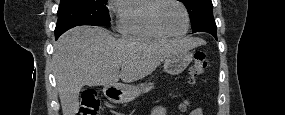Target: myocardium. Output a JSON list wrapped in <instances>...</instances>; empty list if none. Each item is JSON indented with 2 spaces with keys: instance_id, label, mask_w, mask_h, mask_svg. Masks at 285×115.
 I'll use <instances>...</instances> for the list:
<instances>
[{
  "instance_id": "obj_1",
  "label": "myocardium",
  "mask_w": 285,
  "mask_h": 115,
  "mask_svg": "<svg viewBox=\"0 0 285 115\" xmlns=\"http://www.w3.org/2000/svg\"><path fill=\"white\" fill-rule=\"evenodd\" d=\"M168 1H171V2H174L176 4H178L183 12H184V15H185V20H186V26H185V29L180 32V33H171L169 32L167 29H165L161 23L159 22V19H158V10L161 6V4L165 3V2H168ZM151 21L153 23V25L161 32L163 33L164 35H166L167 37H172V38H178V37H182L184 35L187 34V32L189 31V28H190V14L186 8V6L183 4V2L181 1H178V0H157L153 10H152V13H151Z\"/></svg>"
}]
</instances>
